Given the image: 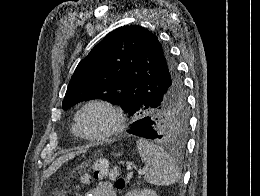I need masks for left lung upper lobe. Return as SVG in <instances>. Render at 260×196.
I'll list each match as a JSON object with an SVG mask.
<instances>
[{
  "mask_svg": "<svg viewBox=\"0 0 260 196\" xmlns=\"http://www.w3.org/2000/svg\"><path fill=\"white\" fill-rule=\"evenodd\" d=\"M90 99L118 104L134 120L151 119L157 141L184 148L189 115L182 80L168 48L144 27L115 29L78 64L62 108Z\"/></svg>",
  "mask_w": 260,
  "mask_h": 196,
  "instance_id": "obj_1",
  "label": "left lung upper lobe"
}]
</instances>
